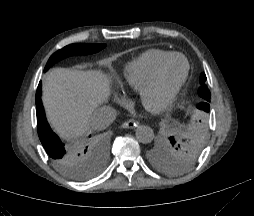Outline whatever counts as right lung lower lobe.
<instances>
[{"instance_id":"right-lung-lower-lobe-1","label":"right lung lower lobe","mask_w":254,"mask_h":216,"mask_svg":"<svg viewBox=\"0 0 254 216\" xmlns=\"http://www.w3.org/2000/svg\"><path fill=\"white\" fill-rule=\"evenodd\" d=\"M41 88L42 84L40 82L36 93L37 130L40 141L47 154L56 165L67 163L77 157H79L84 164L91 163L89 147H86L84 151L78 154L75 148H65L64 143H62L59 137L51 130L46 120L41 101Z\"/></svg>"}]
</instances>
